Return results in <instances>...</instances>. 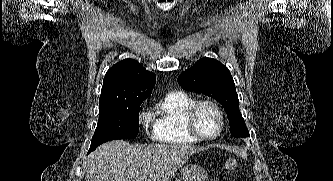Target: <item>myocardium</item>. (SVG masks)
Segmentation results:
<instances>
[{"mask_svg": "<svg viewBox=\"0 0 333 181\" xmlns=\"http://www.w3.org/2000/svg\"><path fill=\"white\" fill-rule=\"evenodd\" d=\"M202 106H209V107L213 108L219 117L220 126H219L217 133L214 134L213 136L202 135L196 126V115H197L198 110ZM185 124H186V129L191 136H193L194 138L201 140V141H210V140H214V139L218 138L222 134V132L224 130V126H225V118H224L222 109L220 108V106L217 103H215L212 100L203 99V100L195 101L187 109V111L185 113Z\"/></svg>", "mask_w": 333, "mask_h": 181, "instance_id": "obj_1", "label": "myocardium"}]
</instances>
